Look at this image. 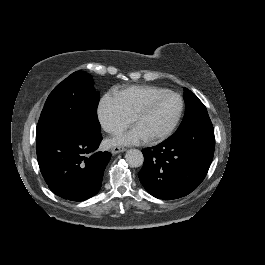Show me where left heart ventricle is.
I'll return each instance as SVG.
<instances>
[{
    "label": "left heart ventricle",
    "instance_id": "left-heart-ventricle-1",
    "mask_svg": "<svg viewBox=\"0 0 265 265\" xmlns=\"http://www.w3.org/2000/svg\"><path fill=\"white\" fill-rule=\"evenodd\" d=\"M179 106L180 102L177 97L165 93L160 94L147 110L137 118L136 124L150 137L158 133L176 117Z\"/></svg>",
    "mask_w": 265,
    "mask_h": 265
}]
</instances>
